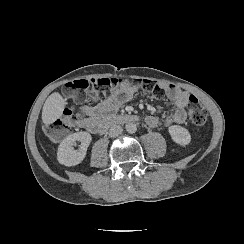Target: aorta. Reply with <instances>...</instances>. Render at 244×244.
<instances>
[{
	"label": "aorta",
	"instance_id": "762f6f07",
	"mask_svg": "<svg viewBox=\"0 0 244 244\" xmlns=\"http://www.w3.org/2000/svg\"><path fill=\"white\" fill-rule=\"evenodd\" d=\"M125 129L128 133L132 134L135 133L137 131V126L135 123L133 122H129L125 125Z\"/></svg>",
	"mask_w": 244,
	"mask_h": 244
}]
</instances>
